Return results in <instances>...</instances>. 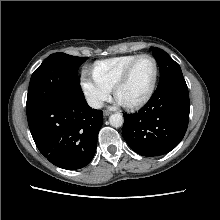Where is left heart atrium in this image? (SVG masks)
Instances as JSON below:
<instances>
[{
	"label": "left heart atrium",
	"mask_w": 220,
	"mask_h": 220,
	"mask_svg": "<svg viewBox=\"0 0 220 220\" xmlns=\"http://www.w3.org/2000/svg\"><path fill=\"white\" fill-rule=\"evenodd\" d=\"M117 100H118L119 103H122L118 98H117Z\"/></svg>",
	"instance_id": "left-heart-atrium-1"
}]
</instances>
